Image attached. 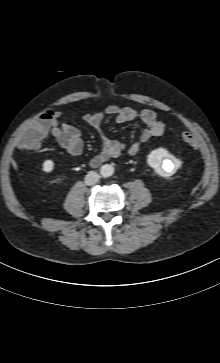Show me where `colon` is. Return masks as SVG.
Wrapping results in <instances>:
<instances>
[{
	"instance_id": "5ec220e1",
	"label": "colon",
	"mask_w": 220,
	"mask_h": 363,
	"mask_svg": "<svg viewBox=\"0 0 220 363\" xmlns=\"http://www.w3.org/2000/svg\"><path fill=\"white\" fill-rule=\"evenodd\" d=\"M54 119L55 114L53 112L48 111L43 113L40 118L25 132L26 143L31 146L40 144L48 133ZM180 137L189 145H194L196 143L194 135L188 131L181 132Z\"/></svg>"
}]
</instances>
